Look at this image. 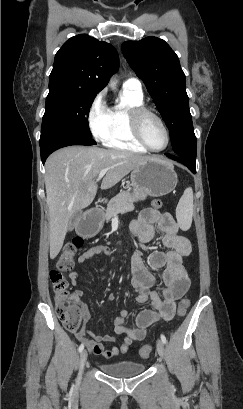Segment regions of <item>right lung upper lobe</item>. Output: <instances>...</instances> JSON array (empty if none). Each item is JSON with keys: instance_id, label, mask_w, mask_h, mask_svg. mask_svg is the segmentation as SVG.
I'll use <instances>...</instances> for the list:
<instances>
[{"instance_id": "1", "label": "right lung upper lobe", "mask_w": 243, "mask_h": 409, "mask_svg": "<svg viewBox=\"0 0 243 409\" xmlns=\"http://www.w3.org/2000/svg\"><path fill=\"white\" fill-rule=\"evenodd\" d=\"M118 67V53L111 44L80 34L67 40L56 53L49 84L97 94Z\"/></svg>"}]
</instances>
